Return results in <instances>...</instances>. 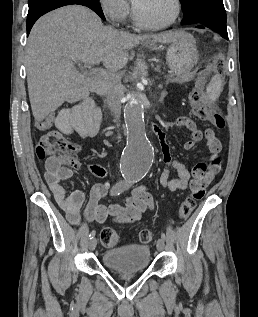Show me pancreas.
<instances>
[{
    "instance_id": "obj_1",
    "label": "pancreas",
    "mask_w": 258,
    "mask_h": 317,
    "mask_svg": "<svg viewBox=\"0 0 258 317\" xmlns=\"http://www.w3.org/2000/svg\"><path fill=\"white\" fill-rule=\"evenodd\" d=\"M167 81L169 82L170 80L168 79ZM105 84H107V81H105ZM119 87L121 88L122 86L120 85ZM158 90L160 91L161 89L159 88ZM161 95H166V90H161Z\"/></svg>"
}]
</instances>
